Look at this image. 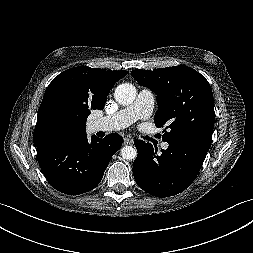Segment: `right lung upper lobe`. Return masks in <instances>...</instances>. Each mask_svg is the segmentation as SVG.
I'll list each match as a JSON object with an SVG mask.
<instances>
[{
	"instance_id": "right-lung-upper-lobe-1",
	"label": "right lung upper lobe",
	"mask_w": 253,
	"mask_h": 253,
	"mask_svg": "<svg viewBox=\"0 0 253 253\" xmlns=\"http://www.w3.org/2000/svg\"><path fill=\"white\" fill-rule=\"evenodd\" d=\"M128 72L103 70L79 66L56 76L46 89L41 102L33 142L35 147L54 136H80L86 134V124L78 120L67 133L54 134L46 123L47 112L53 104H60L75 111L100 109L105 106L107 96L114 84Z\"/></svg>"
}]
</instances>
